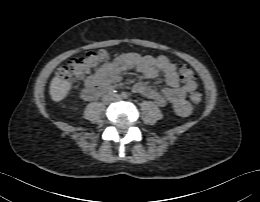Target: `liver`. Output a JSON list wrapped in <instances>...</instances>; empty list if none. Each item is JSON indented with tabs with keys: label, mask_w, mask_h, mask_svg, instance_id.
Returning <instances> with one entry per match:
<instances>
[{
	"label": "liver",
	"mask_w": 260,
	"mask_h": 202,
	"mask_svg": "<svg viewBox=\"0 0 260 202\" xmlns=\"http://www.w3.org/2000/svg\"><path fill=\"white\" fill-rule=\"evenodd\" d=\"M71 87L70 81L55 76L51 81L49 89L51 99L55 102H60L70 93Z\"/></svg>",
	"instance_id": "obj_1"
}]
</instances>
